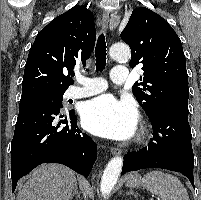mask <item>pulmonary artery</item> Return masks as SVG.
<instances>
[{
  "label": "pulmonary artery",
  "mask_w": 201,
  "mask_h": 200,
  "mask_svg": "<svg viewBox=\"0 0 201 200\" xmlns=\"http://www.w3.org/2000/svg\"><path fill=\"white\" fill-rule=\"evenodd\" d=\"M110 77L111 80L116 84L124 83L128 77V69L121 65L115 66ZM78 81L81 86L71 87L66 93L67 98H84L98 94L107 88L106 83L101 78L78 76Z\"/></svg>",
  "instance_id": "e3ab8cb5"
}]
</instances>
